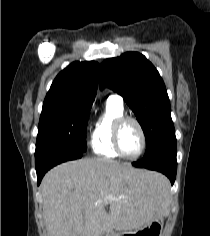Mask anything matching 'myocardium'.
<instances>
[{"instance_id":"1","label":"myocardium","mask_w":210,"mask_h":236,"mask_svg":"<svg viewBox=\"0 0 210 236\" xmlns=\"http://www.w3.org/2000/svg\"><path fill=\"white\" fill-rule=\"evenodd\" d=\"M127 121H131L137 126V128L140 132V136H141L140 150L134 156L125 155L123 153V151L121 149V145H120L121 129H122L123 124ZM112 140H113L114 150L116 151L118 156L123 158V159L131 160V161L138 159L143 154V152L145 151V148H146V144H147L146 134H145L144 128H143L142 124L140 123V121L137 118L133 117V116L124 115V114L119 116L114 122Z\"/></svg>"}]
</instances>
